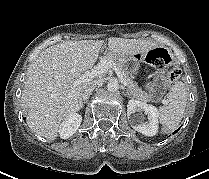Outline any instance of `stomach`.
<instances>
[{
  "label": "stomach",
  "instance_id": "stomach-1",
  "mask_svg": "<svg viewBox=\"0 0 209 179\" xmlns=\"http://www.w3.org/2000/svg\"><path fill=\"white\" fill-rule=\"evenodd\" d=\"M142 54H133L121 58L122 65L129 77L136 75L140 68Z\"/></svg>",
  "mask_w": 209,
  "mask_h": 179
}]
</instances>
